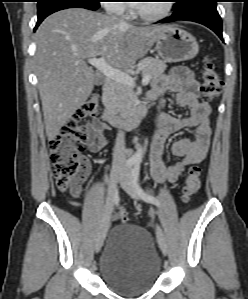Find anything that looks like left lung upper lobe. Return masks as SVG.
<instances>
[{
	"label": "left lung upper lobe",
	"mask_w": 248,
	"mask_h": 299,
	"mask_svg": "<svg viewBox=\"0 0 248 299\" xmlns=\"http://www.w3.org/2000/svg\"><path fill=\"white\" fill-rule=\"evenodd\" d=\"M177 1H179V6L182 9H185L189 4L198 2V1H202V0H177Z\"/></svg>",
	"instance_id": "1"
}]
</instances>
